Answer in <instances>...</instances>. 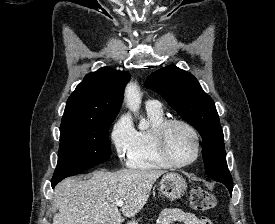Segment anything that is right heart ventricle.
<instances>
[{"label": "right heart ventricle", "instance_id": "right-heart-ventricle-1", "mask_svg": "<svg viewBox=\"0 0 275 224\" xmlns=\"http://www.w3.org/2000/svg\"><path fill=\"white\" fill-rule=\"evenodd\" d=\"M146 112L150 127L135 132L134 145L126 159L127 165L137 170L168 169L170 166L161 161L153 144V132L165 120V115L162 109L146 108Z\"/></svg>", "mask_w": 275, "mask_h": 224}]
</instances>
